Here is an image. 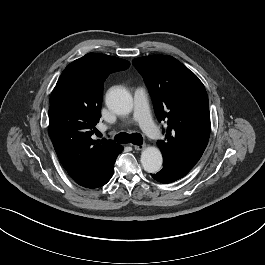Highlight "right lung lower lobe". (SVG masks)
<instances>
[{
  "label": "right lung lower lobe",
  "instance_id": "98d812e1",
  "mask_svg": "<svg viewBox=\"0 0 265 265\" xmlns=\"http://www.w3.org/2000/svg\"><path fill=\"white\" fill-rule=\"evenodd\" d=\"M121 152L122 147L118 146L113 151L99 156L83 172L72 175V179L86 188L94 189L103 186L111 179L115 160Z\"/></svg>",
  "mask_w": 265,
  "mask_h": 265
}]
</instances>
